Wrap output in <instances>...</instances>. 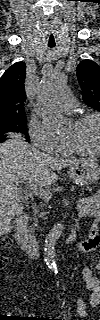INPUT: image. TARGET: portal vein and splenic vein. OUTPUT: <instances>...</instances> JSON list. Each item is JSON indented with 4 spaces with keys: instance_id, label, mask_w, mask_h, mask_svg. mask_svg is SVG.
Listing matches in <instances>:
<instances>
[{
    "instance_id": "obj_1",
    "label": "portal vein and splenic vein",
    "mask_w": 100,
    "mask_h": 320,
    "mask_svg": "<svg viewBox=\"0 0 100 320\" xmlns=\"http://www.w3.org/2000/svg\"><path fill=\"white\" fill-rule=\"evenodd\" d=\"M17 183L27 184L34 194L38 195L39 197L45 200H49L52 197V193L50 191L45 190L42 187H39V185L34 183L32 180H19L17 181Z\"/></svg>"
}]
</instances>
